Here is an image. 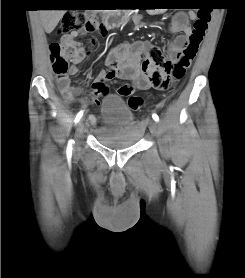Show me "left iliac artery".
<instances>
[{
    "label": "left iliac artery",
    "mask_w": 245,
    "mask_h": 278,
    "mask_svg": "<svg viewBox=\"0 0 245 278\" xmlns=\"http://www.w3.org/2000/svg\"><path fill=\"white\" fill-rule=\"evenodd\" d=\"M152 118H153L155 121H159V117H158V115L155 114V113L152 115Z\"/></svg>",
    "instance_id": "left-iliac-artery-1"
}]
</instances>
